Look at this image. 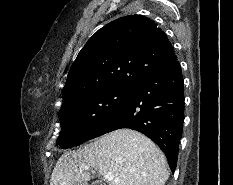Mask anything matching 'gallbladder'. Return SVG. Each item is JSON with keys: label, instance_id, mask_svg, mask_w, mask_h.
Here are the masks:
<instances>
[{"label": "gallbladder", "instance_id": "bac80fb5", "mask_svg": "<svg viewBox=\"0 0 233 185\" xmlns=\"http://www.w3.org/2000/svg\"><path fill=\"white\" fill-rule=\"evenodd\" d=\"M94 185H100L99 183H94Z\"/></svg>", "mask_w": 233, "mask_h": 185}]
</instances>
